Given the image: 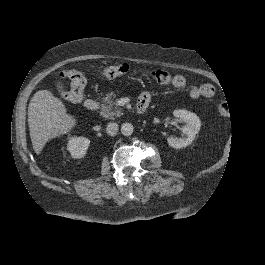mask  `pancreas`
<instances>
[{
    "label": "pancreas",
    "instance_id": "obj_1",
    "mask_svg": "<svg viewBox=\"0 0 265 265\" xmlns=\"http://www.w3.org/2000/svg\"><path fill=\"white\" fill-rule=\"evenodd\" d=\"M106 95L107 97L103 99V101L101 102V108H102V111L100 113L101 116L108 118V119H114V118H118L122 116L123 110L115 104L114 99L117 97L115 92L110 91Z\"/></svg>",
    "mask_w": 265,
    "mask_h": 265
}]
</instances>
